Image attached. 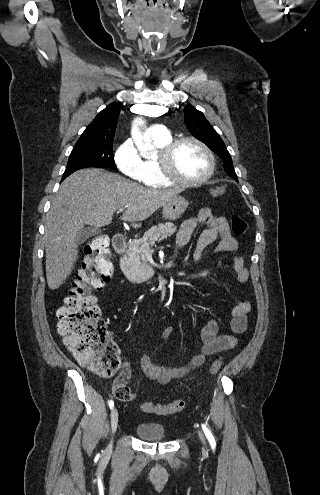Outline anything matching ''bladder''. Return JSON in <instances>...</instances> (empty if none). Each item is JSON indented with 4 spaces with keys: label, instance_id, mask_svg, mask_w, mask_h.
Instances as JSON below:
<instances>
[{
    "label": "bladder",
    "instance_id": "bladder-1",
    "mask_svg": "<svg viewBox=\"0 0 320 495\" xmlns=\"http://www.w3.org/2000/svg\"><path fill=\"white\" fill-rule=\"evenodd\" d=\"M135 431L138 437L147 441H160L166 438L165 427L156 422L139 423Z\"/></svg>",
    "mask_w": 320,
    "mask_h": 495
}]
</instances>
